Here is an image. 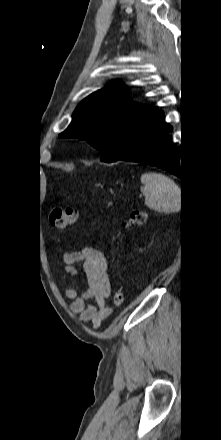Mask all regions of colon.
Returning a JSON list of instances; mask_svg holds the SVG:
<instances>
[{
    "label": "colon",
    "mask_w": 221,
    "mask_h": 440,
    "mask_svg": "<svg viewBox=\"0 0 221 440\" xmlns=\"http://www.w3.org/2000/svg\"><path fill=\"white\" fill-rule=\"evenodd\" d=\"M147 213L136 210L129 214L126 220L128 226H139L145 223ZM78 220V211L72 207H55L49 215V222L52 226L64 229L76 224ZM112 302L115 307H120L124 303V293L121 289L114 291Z\"/></svg>",
    "instance_id": "colon-1"
}]
</instances>
